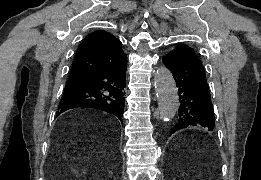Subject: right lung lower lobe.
I'll return each instance as SVG.
<instances>
[{
	"instance_id": "1",
	"label": "right lung lower lobe",
	"mask_w": 261,
	"mask_h": 180,
	"mask_svg": "<svg viewBox=\"0 0 261 180\" xmlns=\"http://www.w3.org/2000/svg\"><path fill=\"white\" fill-rule=\"evenodd\" d=\"M126 64L101 68L83 78L77 87L65 92L57 116L78 107L94 108L117 116L122 121L125 106Z\"/></svg>"
}]
</instances>
